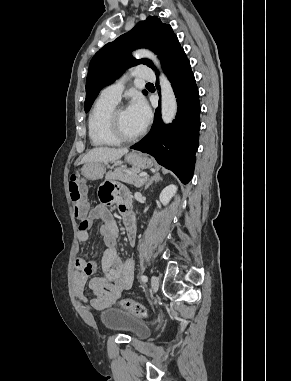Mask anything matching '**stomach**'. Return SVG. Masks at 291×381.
<instances>
[{
    "instance_id": "stomach-1",
    "label": "stomach",
    "mask_w": 291,
    "mask_h": 381,
    "mask_svg": "<svg viewBox=\"0 0 291 381\" xmlns=\"http://www.w3.org/2000/svg\"><path fill=\"white\" fill-rule=\"evenodd\" d=\"M125 160L135 169H146L152 166V160L146 155L131 152L125 156ZM106 163H87L81 169V174L89 180H98L105 173Z\"/></svg>"
}]
</instances>
